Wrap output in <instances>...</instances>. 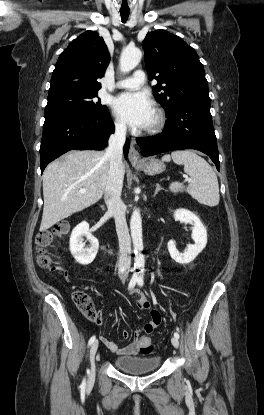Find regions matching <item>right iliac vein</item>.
I'll return each mask as SVG.
<instances>
[{
  "label": "right iliac vein",
  "instance_id": "right-iliac-vein-1",
  "mask_svg": "<svg viewBox=\"0 0 264 415\" xmlns=\"http://www.w3.org/2000/svg\"><path fill=\"white\" fill-rule=\"evenodd\" d=\"M98 341H94L91 348H90V365H91V371H90V379L92 380L95 376V355L98 349Z\"/></svg>",
  "mask_w": 264,
  "mask_h": 415
}]
</instances>
